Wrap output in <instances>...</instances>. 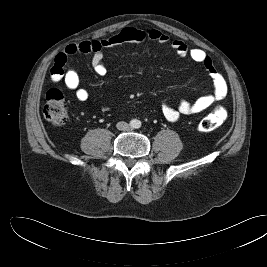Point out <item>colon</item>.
Wrapping results in <instances>:
<instances>
[{
  "label": "colon",
  "instance_id": "obj_1",
  "mask_svg": "<svg viewBox=\"0 0 267 267\" xmlns=\"http://www.w3.org/2000/svg\"><path fill=\"white\" fill-rule=\"evenodd\" d=\"M44 117L55 126H62L67 122L68 111L62 92L56 88L50 89L46 94V103L43 108ZM227 118V110L217 106L199 123L201 132H211L221 126Z\"/></svg>",
  "mask_w": 267,
  "mask_h": 267
}]
</instances>
